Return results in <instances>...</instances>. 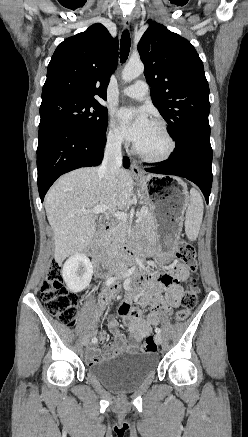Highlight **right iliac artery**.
Segmentation results:
<instances>
[{
	"label": "right iliac artery",
	"mask_w": 248,
	"mask_h": 437,
	"mask_svg": "<svg viewBox=\"0 0 248 437\" xmlns=\"http://www.w3.org/2000/svg\"><path fill=\"white\" fill-rule=\"evenodd\" d=\"M135 268L132 267L130 268L122 277H128L130 276L133 272H134ZM120 278V277H119ZM118 279V277H110L106 280V285L110 286L111 284H113L116 280ZM97 342V338H92V343H96Z\"/></svg>",
	"instance_id": "1"
}]
</instances>
